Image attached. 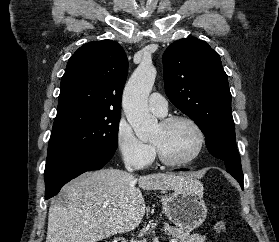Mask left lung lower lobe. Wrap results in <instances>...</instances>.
Masks as SVG:
<instances>
[{
	"label": "left lung lower lobe",
	"mask_w": 279,
	"mask_h": 242,
	"mask_svg": "<svg viewBox=\"0 0 279 242\" xmlns=\"http://www.w3.org/2000/svg\"><path fill=\"white\" fill-rule=\"evenodd\" d=\"M178 170H180V171H186L187 169H178ZM238 182H239V184L241 185V188L243 189V187H244V185H243V179H238V178H235Z\"/></svg>",
	"instance_id": "left-lung-lower-lobe-1"
}]
</instances>
